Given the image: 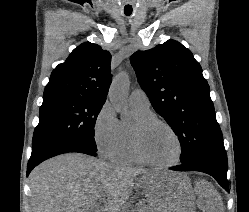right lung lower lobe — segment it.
Segmentation results:
<instances>
[{
	"mask_svg": "<svg viewBox=\"0 0 249 212\" xmlns=\"http://www.w3.org/2000/svg\"><path fill=\"white\" fill-rule=\"evenodd\" d=\"M68 152H78L91 155L90 151H88L82 143L72 139H56L42 142L34 146L32 149V154L27 166V176L35 166L44 160ZM93 154L96 156V153Z\"/></svg>",
	"mask_w": 249,
	"mask_h": 212,
	"instance_id": "right-lung-lower-lobe-1",
	"label": "right lung lower lobe"
}]
</instances>
